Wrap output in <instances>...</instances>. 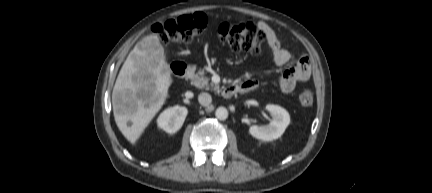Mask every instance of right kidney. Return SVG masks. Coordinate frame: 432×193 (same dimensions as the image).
<instances>
[{"label": "right kidney", "instance_id": "right-kidney-1", "mask_svg": "<svg viewBox=\"0 0 432 193\" xmlns=\"http://www.w3.org/2000/svg\"><path fill=\"white\" fill-rule=\"evenodd\" d=\"M187 113L186 107L174 106L168 108L159 115L157 119L158 126L167 133H175L182 127Z\"/></svg>", "mask_w": 432, "mask_h": 193}]
</instances>
